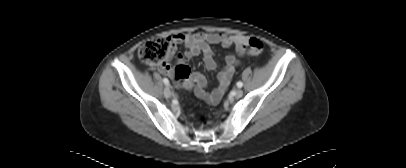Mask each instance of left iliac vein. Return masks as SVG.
I'll list each match as a JSON object with an SVG mask.
<instances>
[{
  "label": "left iliac vein",
  "instance_id": "4c4485c4",
  "mask_svg": "<svg viewBox=\"0 0 406 168\" xmlns=\"http://www.w3.org/2000/svg\"><path fill=\"white\" fill-rule=\"evenodd\" d=\"M243 96V91L241 89H237L234 93L235 98H241Z\"/></svg>",
  "mask_w": 406,
  "mask_h": 168
}]
</instances>
